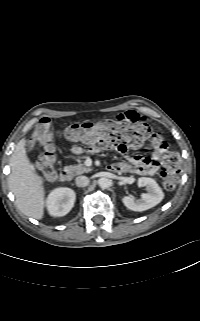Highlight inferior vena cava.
Segmentation results:
<instances>
[{
    "instance_id": "inferior-vena-cava-1",
    "label": "inferior vena cava",
    "mask_w": 200,
    "mask_h": 321,
    "mask_svg": "<svg viewBox=\"0 0 200 321\" xmlns=\"http://www.w3.org/2000/svg\"><path fill=\"white\" fill-rule=\"evenodd\" d=\"M75 181H76V185L78 187H85L90 182L89 178L86 176H78V177H76Z\"/></svg>"
}]
</instances>
